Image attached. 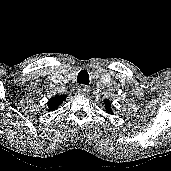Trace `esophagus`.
Listing matches in <instances>:
<instances>
[{
    "instance_id": "obj_1",
    "label": "esophagus",
    "mask_w": 171,
    "mask_h": 171,
    "mask_svg": "<svg viewBox=\"0 0 171 171\" xmlns=\"http://www.w3.org/2000/svg\"><path fill=\"white\" fill-rule=\"evenodd\" d=\"M89 91V87L87 85H80L78 87V94H81V95H86Z\"/></svg>"
}]
</instances>
